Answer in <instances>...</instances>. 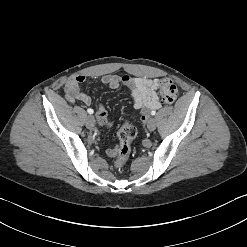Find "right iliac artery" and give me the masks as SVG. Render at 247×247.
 I'll return each mask as SVG.
<instances>
[{
  "instance_id": "1",
  "label": "right iliac artery",
  "mask_w": 247,
  "mask_h": 247,
  "mask_svg": "<svg viewBox=\"0 0 247 247\" xmlns=\"http://www.w3.org/2000/svg\"><path fill=\"white\" fill-rule=\"evenodd\" d=\"M87 112H88L89 114H93V113H94L93 109H91V108L87 109Z\"/></svg>"
}]
</instances>
